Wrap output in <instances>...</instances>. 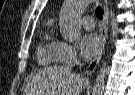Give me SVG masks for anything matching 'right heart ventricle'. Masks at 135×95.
Returning a JSON list of instances; mask_svg holds the SVG:
<instances>
[{"label": "right heart ventricle", "mask_w": 135, "mask_h": 95, "mask_svg": "<svg viewBox=\"0 0 135 95\" xmlns=\"http://www.w3.org/2000/svg\"><path fill=\"white\" fill-rule=\"evenodd\" d=\"M38 61L43 65H54L58 60V41L53 37V26L48 24V30L44 40L37 48Z\"/></svg>", "instance_id": "obj_1"}]
</instances>
